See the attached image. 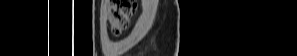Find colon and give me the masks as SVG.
Segmentation results:
<instances>
[{"instance_id": "5ec220e1", "label": "colon", "mask_w": 297, "mask_h": 56, "mask_svg": "<svg viewBox=\"0 0 297 56\" xmlns=\"http://www.w3.org/2000/svg\"><path fill=\"white\" fill-rule=\"evenodd\" d=\"M135 12L133 0H113L109 6V21L113 34L119 35L128 26Z\"/></svg>"}]
</instances>
